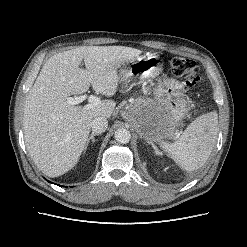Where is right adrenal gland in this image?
Here are the masks:
<instances>
[{
  "instance_id": "1",
  "label": "right adrenal gland",
  "mask_w": 247,
  "mask_h": 247,
  "mask_svg": "<svg viewBox=\"0 0 247 247\" xmlns=\"http://www.w3.org/2000/svg\"><path fill=\"white\" fill-rule=\"evenodd\" d=\"M96 135H100V134H98V133H91V135H90V137L88 138V140H87V143H86V145H85V149H84V151H86L87 150V148H88V146H89V143H90V141H92V143H94L95 142V136Z\"/></svg>"
}]
</instances>
